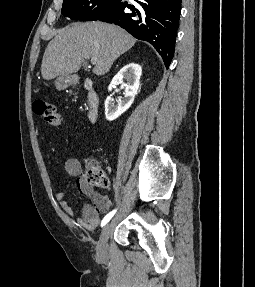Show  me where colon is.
<instances>
[{
  "mask_svg": "<svg viewBox=\"0 0 255 287\" xmlns=\"http://www.w3.org/2000/svg\"><path fill=\"white\" fill-rule=\"evenodd\" d=\"M33 111L50 127L59 128L61 126V116L51 103L38 99L33 103ZM85 178L87 183L98 188H104L108 184V177L105 171L93 160L87 161Z\"/></svg>",
  "mask_w": 255,
  "mask_h": 287,
  "instance_id": "1",
  "label": "colon"
}]
</instances>
